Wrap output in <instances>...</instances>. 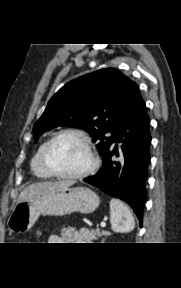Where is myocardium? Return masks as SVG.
I'll use <instances>...</instances> for the list:
<instances>
[{
    "label": "myocardium",
    "mask_w": 181,
    "mask_h": 288,
    "mask_svg": "<svg viewBox=\"0 0 181 288\" xmlns=\"http://www.w3.org/2000/svg\"><path fill=\"white\" fill-rule=\"evenodd\" d=\"M66 135H73V136L78 137L82 141L84 146L86 147L87 152H88V156H89L88 165L82 171L74 173V174H64V173L58 172L57 170H55L53 168V166L51 165V163L49 161V152H50L52 145L54 144V142L56 140H58L59 138H61L63 136H66ZM42 162H43V165L46 168V170L53 177H57V178H61V179H71V180L81 179V178L88 176L89 174H91L96 169V167L98 165V159H97L96 154L94 152L91 138L89 137V135L86 132H84L80 129H75V128H67V129L60 130L59 132L55 133L46 142L44 149H43V152H42Z\"/></svg>",
    "instance_id": "myocardium-1"
}]
</instances>
